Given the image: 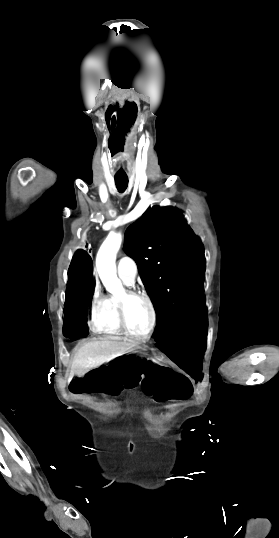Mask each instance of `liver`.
<instances>
[{
  "mask_svg": "<svg viewBox=\"0 0 279 538\" xmlns=\"http://www.w3.org/2000/svg\"><path fill=\"white\" fill-rule=\"evenodd\" d=\"M134 348L130 342H122L118 338L108 336V338H96L95 342H88L82 346L75 354L72 362L69 378L73 376H84L89 370L102 366L105 362H110L116 356L128 354Z\"/></svg>",
  "mask_w": 279,
  "mask_h": 538,
  "instance_id": "obj_1",
  "label": "liver"
}]
</instances>
